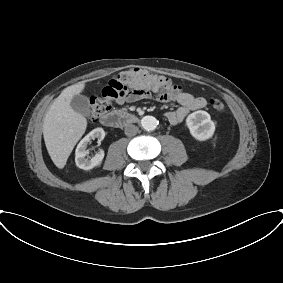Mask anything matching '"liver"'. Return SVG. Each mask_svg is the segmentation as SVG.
Instances as JSON below:
<instances>
[{"label": "liver", "mask_w": 283, "mask_h": 283, "mask_svg": "<svg viewBox=\"0 0 283 283\" xmlns=\"http://www.w3.org/2000/svg\"><path fill=\"white\" fill-rule=\"evenodd\" d=\"M84 88L85 83L79 82L64 89L43 119L45 145L53 163L59 169L64 168L87 127L86 118L70 106L73 96L81 93Z\"/></svg>", "instance_id": "6515ba94"}]
</instances>
